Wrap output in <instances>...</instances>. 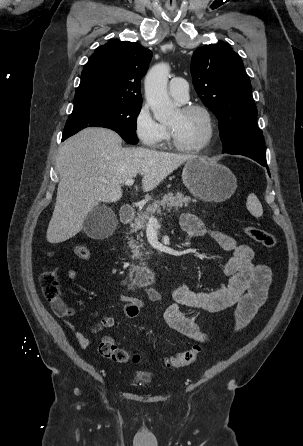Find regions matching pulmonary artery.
Returning a JSON list of instances; mask_svg holds the SVG:
<instances>
[{"mask_svg": "<svg viewBox=\"0 0 303 446\" xmlns=\"http://www.w3.org/2000/svg\"><path fill=\"white\" fill-rule=\"evenodd\" d=\"M168 91L174 99L184 102L189 96L188 82L184 78L174 77L169 82Z\"/></svg>", "mask_w": 303, "mask_h": 446, "instance_id": "obj_1", "label": "pulmonary artery"}]
</instances>
